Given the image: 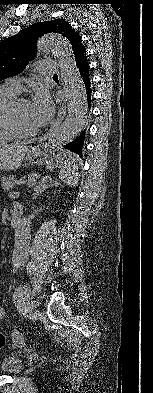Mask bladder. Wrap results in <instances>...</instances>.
<instances>
[{"label":"bladder","instance_id":"31cf9c89","mask_svg":"<svg viewBox=\"0 0 153 393\" xmlns=\"http://www.w3.org/2000/svg\"><path fill=\"white\" fill-rule=\"evenodd\" d=\"M21 371V366L15 356H8L0 365V372L5 375H15Z\"/></svg>","mask_w":153,"mask_h":393}]
</instances>
